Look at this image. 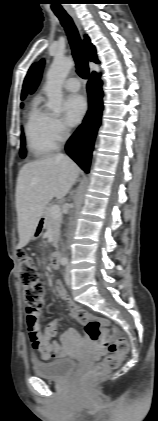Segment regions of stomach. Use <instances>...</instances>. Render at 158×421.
<instances>
[{
    "label": "stomach",
    "instance_id": "0dacf381",
    "mask_svg": "<svg viewBox=\"0 0 158 421\" xmlns=\"http://www.w3.org/2000/svg\"><path fill=\"white\" fill-rule=\"evenodd\" d=\"M43 222L40 220L39 222H38V225H37V227H36V229H35V231H34V233H33V235H32V239H36L39 235H40V233L42 232V230H43Z\"/></svg>",
    "mask_w": 158,
    "mask_h": 421
}]
</instances>
